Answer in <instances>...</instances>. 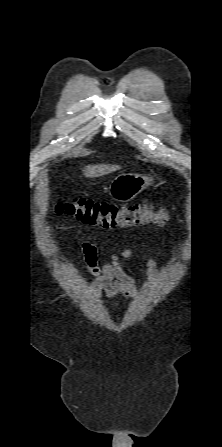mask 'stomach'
<instances>
[{
	"label": "stomach",
	"instance_id": "obj_1",
	"mask_svg": "<svg viewBox=\"0 0 222 447\" xmlns=\"http://www.w3.org/2000/svg\"><path fill=\"white\" fill-rule=\"evenodd\" d=\"M153 181V175L119 174L110 182L108 193L115 201L128 202L153 183Z\"/></svg>",
	"mask_w": 222,
	"mask_h": 447
}]
</instances>
